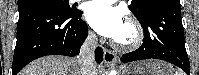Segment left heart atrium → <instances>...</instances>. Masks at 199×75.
<instances>
[{
    "instance_id": "1",
    "label": "left heart atrium",
    "mask_w": 199,
    "mask_h": 75,
    "mask_svg": "<svg viewBox=\"0 0 199 75\" xmlns=\"http://www.w3.org/2000/svg\"><path fill=\"white\" fill-rule=\"evenodd\" d=\"M85 16L97 33L114 40L120 38L127 26L124 14L110 1H91Z\"/></svg>"
}]
</instances>
